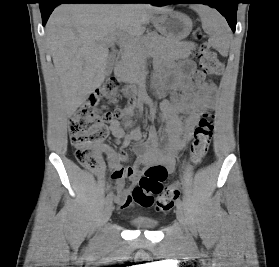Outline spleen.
<instances>
[{
  "instance_id": "3e777b00",
  "label": "spleen",
  "mask_w": 279,
  "mask_h": 267,
  "mask_svg": "<svg viewBox=\"0 0 279 267\" xmlns=\"http://www.w3.org/2000/svg\"><path fill=\"white\" fill-rule=\"evenodd\" d=\"M192 8L198 13L203 30L209 35V43L222 55H227L231 34L222 15L206 5H194Z\"/></svg>"
}]
</instances>
